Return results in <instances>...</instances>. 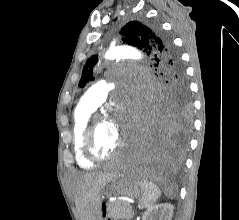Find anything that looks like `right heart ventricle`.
Returning <instances> with one entry per match:
<instances>
[{"label": "right heart ventricle", "mask_w": 239, "mask_h": 220, "mask_svg": "<svg viewBox=\"0 0 239 220\" xmlns=\"http://www.w3.org/2000/svg\"><path fill=\"white\" fill-rule=\"evenodd\" d=\"M93 112L94 110L78 104L73 113V151L76 163L82 168H91L94 166V162L86 157L82 142L85 127Z\"/></svg>", "instance_id": "1"}]
</instances>
